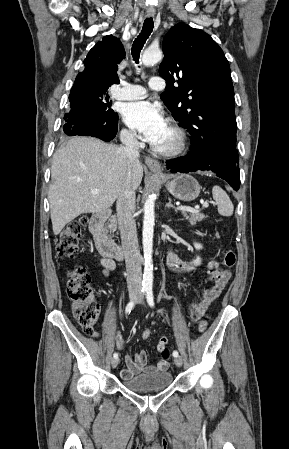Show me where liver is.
<instances>
[{"label": "liver", "mask_w": 289, "mask_h": 449, "mask_svg": "<svg viewBox=\"0 0 289 449\" xmlns=\"http://www.w3.org/2000/svg\"><path fill=\"white\" fill-rule=\"evenodd\" d=\"M126 172L121 148L88 137H74L53 155L52 183L48 199L54 235L72 220L110 208L118 198ZM143 177L137 160L131 167V186L136 190ZM99 189L98 194H92Z\"/></svg>", "instance_id": "6515ba94"}]
</instances>
